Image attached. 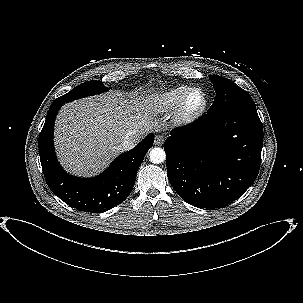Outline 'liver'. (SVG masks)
I'll use <instances>...</instances> for the list:
<instances>
[{
  "label": "liver",
  "instance_id": "liver-1",
  "mask_svg": "<svg viewBox=\"0 0 303 303\" xmlns=\"http://www.w3.org/2000/svg\"><path fill=\"white\" fill-rule=\"evenodd\" d=\"M134 94L121 91L84 98L63 106L55 129V147L63 167L92 176L123 151L125 135L141 136L158 128L148 106Z\"/></svg>",
  "mask_w": 303,
  "mask_h": 303
}]
</instances>
